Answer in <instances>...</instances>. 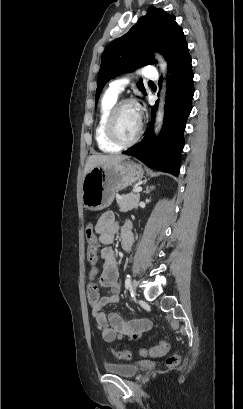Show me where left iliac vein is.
<instances>
[{
    "mask_svg": "<svg viewBox=\"0 0 243 409\" xmlns=\"http://www.w3.org/2000/svg\"><path fill=\"white\" fill-rule=\"evenodd\" d=\"M136 284H137V282L134 281L133 286H132V291H133L134 295H136Z\"/></svg>",
    "mask_w": 243,
    "mask_h": 409,
    "instance_id": "left-iliac-vein-1",
    "label": "left iliac vein"
}]
</instances>
